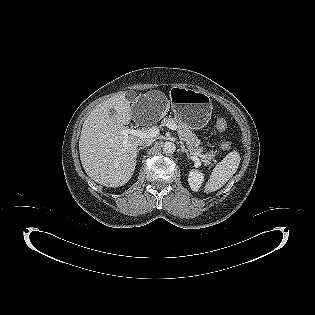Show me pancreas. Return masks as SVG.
Segmentation results:
<instances>
[{
  "mask_svg": "<svg viewBox=\"0 0 315 315\" xmlns=\"http://www.w3.org/2000/svg\"><path fill=\"white\" fill-rule=\"evenodd\" d=\"M167 123H173L177 126V132L180 140L186 143L187 149L190 153L201 154L203 148L199 147L201 144L200 139L197 138L196 134L179 118L166 117L162 120L161 124L166 125ZM215 152H209L205 154L203 162L210 164V160L213 159Z\"/></svg>",
  "mask_w": 315,
  "mask_h": 315,
  "instance_id": "cf45deb5",
  "label": "pancreas"
}]
</instances>
